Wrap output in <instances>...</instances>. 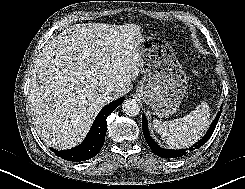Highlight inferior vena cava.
Returning <instances> with one entry per match:
<instances>
[{
  "mask_svg": "<svg viewBox=\"0 0 245 189\" xmlns=\"http://www.w3.org/2000/svg\"><path fill=\"white\" fill-rule=\"evenodd\" d=\"M113 94H114V89L112 88H107L104 92V96L106 99H111Z\"/></svg>",
  "mask_w": 245,
  "mask_h": 189,
  "instance_id": "1",
  "label": "inferior vena cava"
}]
</instances>
